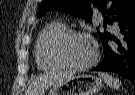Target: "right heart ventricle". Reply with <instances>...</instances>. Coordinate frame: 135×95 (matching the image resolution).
<instances>
[{
    "mask_svg": "<svg viewBox=\"0 0 135 95\" xmlns=\"http://www.w3.org/2000/svg\"><path fill=\"white\" fill-rule=\"evenodd\" d=\"M66 26L61 22H51L40 32L35 44V59L42 70L59 69L61 66L53 59L51 46L53 41L63 32Z\"/></svg>",
    "mask_w": 135,
    "mask_h": 95,
    "instance_id": "right-heart-ventricle-1",
    "label": "right heart ventricle"
}]
</instances>
